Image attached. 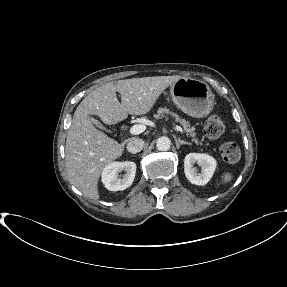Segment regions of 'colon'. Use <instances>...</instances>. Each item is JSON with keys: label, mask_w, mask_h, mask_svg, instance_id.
<instances>
[{"label": "colon", "mask_w": 287, "mask_h": 287, "mask_svg": "<svg viewBox=\"0 0 287 287\" xmlns=\"http://www.w3.org/2000/svg\"><path fill=\"white\" fill-rule=\"evenodd\" d=\"M226 127V121L221 116H212L204 124V133L209 139L220 138ZM222 158L228 163H236L241 158V151L235 142H226L220 148Z\"/></svg>", "instance_id": "1"}]
</instances>
